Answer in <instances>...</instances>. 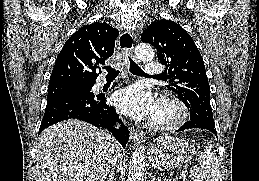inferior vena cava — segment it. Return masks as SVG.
Segmentation results:
<instances>
[{"instance_id":"obj_1","label":"inferior vena cava","mask_w":259,"mask_h":181,"mask_svg":"<svg viewBox=\"0 0 259 181\" xmlns=\"http://www.w3.org/2000/svg\"><path fill=\"white\" fill-rule=\"evenodd\" d=\"M116 161H117V158H113V160H112V164L115 166L116 165Z\"/></svg>"}]
</instances>
